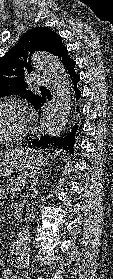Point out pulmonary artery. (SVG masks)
I'll use <instances>...</instances> for the list:
<instances>
[{"instance_id": "pulmonary-artery-1", "label": "pulmonary artery", "mask_w": 113, "mask_h": 279, "mask_svg": "<svg viewBox=\"0 0 113 279\" xmlns=\"http://www.w3.org/2000/svg\"><path fill=\"white\" fill-rule=\"evenodd\" d=\"M35 82L39 85H47L49 83V78L45 75H37L35 77Z\"/></svg>"}]
</instances>
